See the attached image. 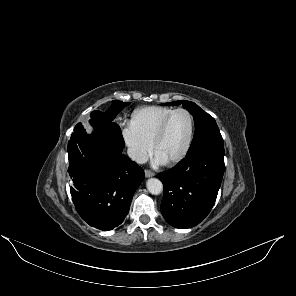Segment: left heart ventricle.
I'll return each instance as SVG.
<instances>
[{
    "label": "left heart ventricle",
    "mask_w": 296,
    "mask_h": 296,
    "mask_svg": "<svg viewBox=\"0 0 296 296\" xmlns=\"http://www.w3.org/2000/svg\"><path fill=\"white\" fill-rule=\"evenodd\" d=\"M190 133V119L187 114L177 113L167 126L159 142L155 155L163 162H168L184 149Z\"/></svg>",
    "instance_id": "obj_1"
}]
</instances>
